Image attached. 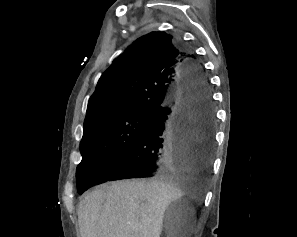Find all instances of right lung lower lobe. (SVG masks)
<instances>
[{
  "label": "right lung lower lobe",
  "mask_w": 297,
  "mask_h": 237,
  "mask_svg": "<svg viewBox=\"0 0 297 237\" xmlns=\"http://www.w3.org/2000/svg\"><path fill=\"white\" fill-rule=\"evenodd\" d=\"M183 73L171 101L153 112L139 138L98 184L210 169L215 116L208 82L194 55L185 60Z\"/></svg>",
  "instance_id": "right-lung-lower-lobe-1"
}]
</instances>
